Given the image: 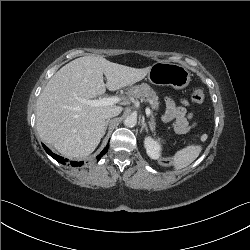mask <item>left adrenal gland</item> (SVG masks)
Here are the masks:
<instances>
[{"label":"left adrenal gland","instance_id":"1","mask_svg":"<svg viewBox=\"0 0 250 250\" xmlns=\"http://www.w3.org/2000/svg\"><path fill=\"white\" fill-rule=\"evenodd\" d=\"M141 124H142V126H141L140 132H142L143 129H145V131L148 132V126H147L144 119L141 121Z\"/></svg>","mask_w":250,"mask_h":250}]
</instances>
